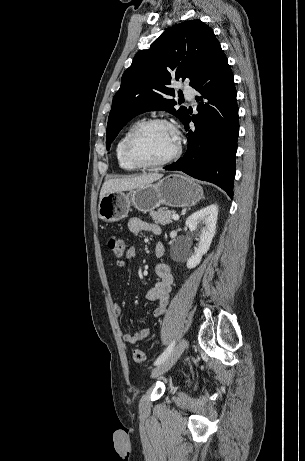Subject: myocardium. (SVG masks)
I'll use <instances>...</instances> for the list:
<instances>
[{
    "label": "myocardium",
    "mask_w": 305,
    "mask_h": 461,
    "mask_svg": "<svg viewBox=\"0 0 305 461\" xmlns=\"http://www.w3.org/2000/svg\"><path fill=\"white\" fill-rule=\"evenodd\" d=\"M152 125H162V126H165L167 128H169L175 135V138H176V148L174 150V152L168 156L167 158L161 160V161H157V162H145V161H142L140 160L139 158L136 157V155L134 154V143L137 139V137L139 136V134L147 127L149 126H152ZM181 152H182V145H181V142L177 136V133L174 129V127L172 126V124L165 120V119H161V118H151V119H147V120H144V121H141L139 122L133 129L132 131L130 132V134L128 135L126 141H125V145H124V153H125V157L126 159L128 160V162L130 164H132L133 166L137 167V168H142V169H155V168H159V167H163L165 165H168L170 164L171 162L177 160L180 155H181Z\"/></svg>",
    "instance_id": "f54148a6"
}]
</instances>
